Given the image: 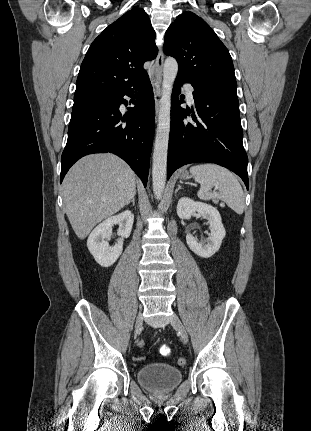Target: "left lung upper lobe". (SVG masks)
<instances>
[{
    "instance_id": "5c2ea615",
    "label": "left lung upper lobe",
    "mask_w": 311,
    "mask_h": 431,
    "mask_svg": "<svg viewBox=\"0 0 311 431\" xmlns=\"http://www.w3.org/2000/svg\"><path fill=\"white\" fill-rule=\"evenodd\" d=\"M164 53L179 65L178 75L211 89L237 88L228 49L212 28L192 12L177 16L165 34Z\"/></svg>"
}]
</instances>
